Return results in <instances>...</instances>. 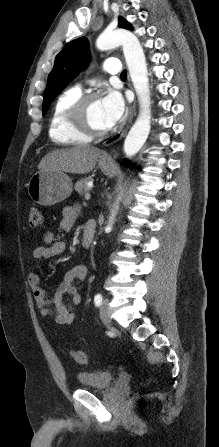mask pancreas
I'll return each mask as SVG.
<instances>
[{
  "instance_id": "obj_1",
  "label": "pancreas",
  "mask_w": 219,
  "mask_h": 447,
  "mask_svg": "<svg viewBox=\"0 0 219 447\" xmlns=\"http://www.w3.org/2000/svg\"><path fill=\"white\" fill-rule=\"evenodd\" d=\"M93 179L91 177H86L83 179H80L79 181L76 182L74 189L80 194V195H84L86 193H88L89 188L87 186L88 182H91Z\"/></svg>"
}]
</instances>
